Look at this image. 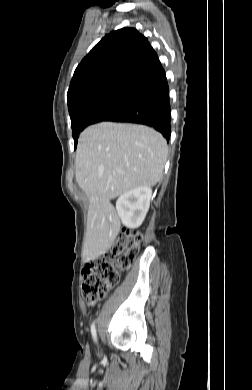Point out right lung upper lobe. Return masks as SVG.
Segmentation results:
<instances>
[{
	"instance_id": "right-lung-upper-lobe-1",
	"label": "right lung upper lobe",
	"mask_w": 252,
	"mask_h": 390,
	"mask_svg": "<svg viewBox=\"0 0 252 390\" xmlns=\"http://www.w3.org/2000/svg\"><path fill=\"white\" fill-rule=\"evenodd\" d=\"M166 80L147 38L134 28L106 35L77 66L67 92L69 113L97 98H137Z\"/></svg>"
}]
</instances>
